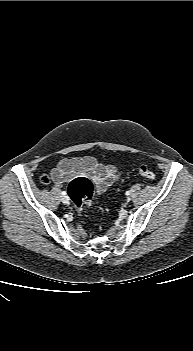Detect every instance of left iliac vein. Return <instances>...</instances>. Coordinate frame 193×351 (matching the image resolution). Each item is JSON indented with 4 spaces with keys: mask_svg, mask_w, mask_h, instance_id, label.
<instances>
[{
    "mask_svg": "<svg viewBox=\"0 0 193 351\" xmlns=\"http://www.w3.org/2000/svg\"><path fill=\"white\" fill-rule=\"evenodd\" d=\"M130 200H131V198H130V197H128V198H127V202H129Z\"/></svg>",
    "mask_w": 193,
    "mask_h": 351,
    "instance_id": "left-iliac-vein-1",
    "label": "left iliac vein"
}]
</instances>
